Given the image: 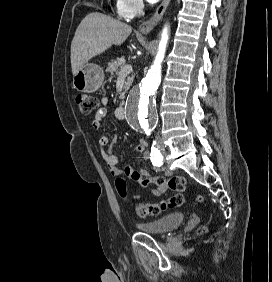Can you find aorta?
<instances>
[{"label":"aorta","instance_id":"762f6f07","mask_svg":"<svg viewBox=\"0 0 272 282\" xmlns=\"http://www.w3.org/2000/svg\"><path fill=\"white\" fill-rule=\"evenodd\" d=\"M169 35L167 26L164 27L158 52L153 64L142 79L134 86L127 98V120L130 125L150 135L157 121L155 95L161 82V64L164 59Z\"/></svg>","mask_w":272,"mask_h":282}]
</instances>
